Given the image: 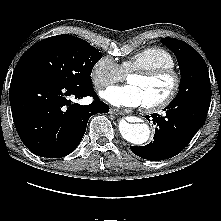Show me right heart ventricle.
<instances>
[{"label": "right heart ventricle", "instance_id": "1", "mask_svg": "<svg viewBox=\"0 0 221 221\" xmlns=\"http://www.w3.org/2000/svg\"><path fill=\"white\" fill-rule=\"evenodd\" d=\"M175 59L172 54L164 48L152 46L142 49L126 60L120 67L124 74L137 69H153L158 67H175Z\"/></svg>", "mask_w": 221, "mask_h": 221}]
</instances>
